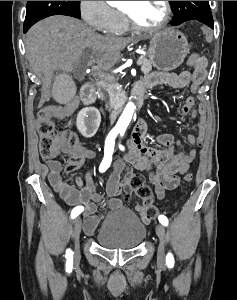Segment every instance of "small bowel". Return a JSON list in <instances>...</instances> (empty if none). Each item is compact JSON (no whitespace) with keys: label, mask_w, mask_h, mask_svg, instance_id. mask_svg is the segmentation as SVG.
<instances>
[{"label":"small bowel","mask_w":237,"mask_h":300,"mask_svg":"<svg viewBox=\"0 0 237 300\" xmlns=\"http://www.w3.org/2000/svg\"><path fill=\"white\" fill-rule=\"evenodd\" d=\"M207 77V61L204 64H196L193 72L184 71L181 73L154 72L147 75L136 86V89L146 90L160 85H168L175 88L190 85L191 92L195 93L202 82ZM78 99H73L64 106L51 108V115L62 119L70 116L78 107ZM194 99L188 95L185 97L182 106V115H191L193 119H198L197 134H188L186 141L194 148L187 153L182 150L175 152V147L180 142L171 134H161L155 139L159 147L151 146L147 143V122L143 119L136 124L130 139L128 140V153L126 163L118 161L114 165V171L108 179L106 193L109 197L108 208L119 210L123 207V201L119 197L121 194L120 175L123 171H130L132 167L147 170L150 173V180L155 185V193L162 199L166 190L174 189L179 184L178 175L184 174L189 169L195 158L197 149L202 145L206 126L207 113L203 105L193 109ZM63 153L69 158L82 156L84 158L95 157V152L84 147L71 149L65 147ZM49 169L48 180L53 189L70 206L83 207L85 222L84 229L88 234H92L106 215V210L97 214V204L102 197L97 192L92 172L88 171L85 178L76 177L72 182L64 180L62 177V164L56 160L47 162ZM135 210L140 213L144 223L148 224L150 219L145 216L143 206L137 204Z\"/></svg>","instance_id":"small-bowel-1"}]
</instances>
